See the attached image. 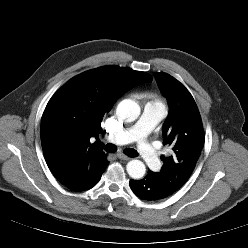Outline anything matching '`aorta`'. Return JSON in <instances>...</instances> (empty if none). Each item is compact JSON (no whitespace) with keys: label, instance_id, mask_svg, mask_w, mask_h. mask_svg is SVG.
Instances as JSON below:
<instances>
[{"label":"aorta","instance_id":"762f6f07","mask_svg":"<svg viewBox=\"0 0 248 248\" xmlns=\"http://www.w3.org/2000/svg\"><path fill=\"white\" fill-rule=\"evenodd\" d=\"M116 114L125 122H133L140 115V107L135 101L125 99L118 104ZM126 170L131 178L141 179L145 175L146 167L140 160H131L127 163Z\"/></svg>","mask_w":248,"mask_h":248}]
</instances>
